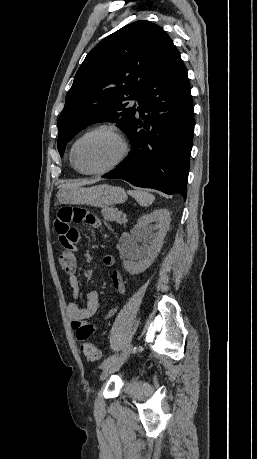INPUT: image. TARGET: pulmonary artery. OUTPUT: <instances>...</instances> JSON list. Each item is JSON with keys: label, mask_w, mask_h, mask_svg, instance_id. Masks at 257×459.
Segmentation results:
<instances>
[{"label": "pulmonary artery", "mask_w": 257, "mask_h": 459, "mask_svg": "<svg viewBox=\"0 0 257 459\" xmlns=\"http://www.w3.org/2000/svg\"><path fill=\"white\" fill-rule=\"evenodd\" d=\"M132 103H133V104H136V105L138 106L137 100H133Z\"/></svg>", "instance_id": "e3ab8cb5"}]
</instances>
